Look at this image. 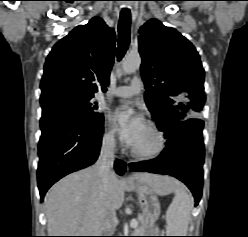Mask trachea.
Here are the masks:
<instances>
[{"label": "trachea", "mask_w": 248, "mask_h": 237, "mask_svg": "<svg viewBox=\"0 0 248 237\" xmlns=\"http://www.w3.org/2000/svg\"><path fill=\"white\" fill-rule=\"evenodd\" d=\"M131 13L128 9H122L118 25V49L117 58L120 61L130 44Z\"/></svg>", "instance_id": "3493384b"}]
</instances>
